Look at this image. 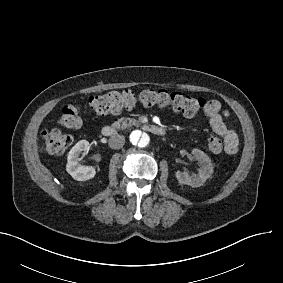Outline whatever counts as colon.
Returning <instances> with one entry per match:
<instances>
[{
  "mask_svg": "<svg viewBox=\"0 0 283 283\" xmlns=\"http://www.w3.org/2000/svg\"><path fill=\"white\" fill-rule=\"evenodd\" d=\"M205 98L191 96L180 92L155 91L152 89L134 92L132 90H113L107 94L96 96L88 101L90 111L95 115L119 114L140 103L146 107L160 106L172 108L184 116H196L205 105ZM83 121L79 108L73 104L63 106L58 119L63 128H80ZM72 144V137L61 130L44 132L38 145L40 154H61ZM208 149L218 153L223 150L220 138L213 136L208 139Z\"/></svg>",
  "mask_w": 283,
  "mask_h": 283,
  "instance_id": "colon-1",
  "label": "colon"
}]
</instances>
